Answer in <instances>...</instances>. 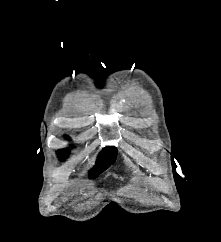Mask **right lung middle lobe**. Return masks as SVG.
I'll return each instance as SVG.
<instances>
[{"label":"right lung middle lobe","mask_w":221,"mask_h":242,"mask_svg":"<svg viewBox=\"0 0 221 242\" xmlns=\"http://www.w3.org/2000/svg\"><path fill=\"white\" fill-rule=\"evenodd\" d=\"M67 150H59L58 156L60 160H64L67 157ZM117 150L115 147H106L99 154L96 164L93 169L90 170V178L97 177L100 173L105 171L112 163L115 162Z\"/></svg>","instance_id":"obj_1"}]
</instances>
